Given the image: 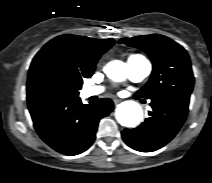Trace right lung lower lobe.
<instances>
[{
    "label": "right lung lower lobe",
    "mask_w": 212,
    "mask_h": 183,
    "mask_svg": "<svg viewBox=\"0 0 212 183\" xmlns=\"http://www.w3.org/2000/svg\"><path fill=\"white\" fill-rule=\"evenodd\" d=\"M34 127L54 150L77 155L95 140L100 119L113 110V102L102 98L84 105L79 97L48 96L28 102Z\"/></svg>",
    "instance_id": "1"
}]
</instances>
